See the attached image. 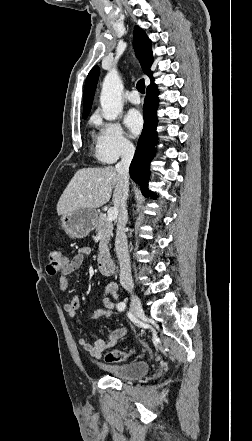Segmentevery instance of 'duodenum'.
<instances>
[{
  "label": "duodenum",
  "instance_id": "410a0bca",
  "mask_svg": "<svg viewBox=\"0 0 252 441\" xmlns=\"http://www.w3.org/2000/svg\"><path fill=\"white\" fill-rule=\"evenodd\" d=\"M99 270L107 276L114 274L113 262L106 255H101L99 258Z\"/></svg>",
  "mask_w": 252,
  "mask_h": 441
}]
</instances>
